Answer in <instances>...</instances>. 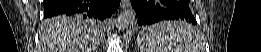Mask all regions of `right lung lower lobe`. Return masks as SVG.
I'll list each match as a JSON object with an SVG mask.
<instances>
[{
	"instance_id": "1",
	"label": "right lung lower lobe",
	"mask_w": 261,
	"mask_h": 52,
	"mask_svg": "<svg viewBox=\"0 0 261 52\" xmlns=\"http://www.w3.org/2000/svg\"><path fill=\"white\" fill-rule=\"evenodd\" d=\"M119 5L120 0H44V17L82 15L102 21Z\"/></svg>"
}]
</instances>
